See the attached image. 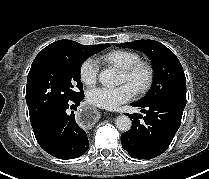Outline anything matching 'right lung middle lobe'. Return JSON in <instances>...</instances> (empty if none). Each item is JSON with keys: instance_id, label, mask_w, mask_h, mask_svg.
I'll list each match as a JSON object with an SVG mask.
<instances>
[{"instance_id": "obj_1", "label": "right lung middle lobe", "mask_w": 209, "mask_h": 179, "mask_svg": "<svg viewBox=\"0 0 209 179\" xmlns=\"http://www.w3.org/2000/svg\"><path fill=\"white\" fill-rule=\"evenodd\" d=\"M107 47L109 44L90 45L67 52H40L27 78L26 102L30 120L54 105L83 96L82 63Z\"/></svg>"}]
</instances>
